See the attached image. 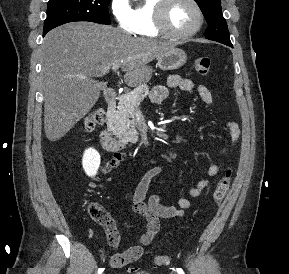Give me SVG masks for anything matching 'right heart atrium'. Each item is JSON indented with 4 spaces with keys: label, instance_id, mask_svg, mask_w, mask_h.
<instances>
[{
    "label": "right heart atrium",
    "instance_id": "d8ad5b80",
    "mask_svg": "<svg viewBox=\"0 0 289 274\" xmlns=\"http://www.w3.org/2000/svg\"><path fill=\"white\" fill-rule=\"evenodd\" d=\"M110 12L120 29L128 33L132 32L133 9L129 0H111Z\"/></svg>",
    "mask_w": 289,
    "mask_h": 274
}]
</instances>
